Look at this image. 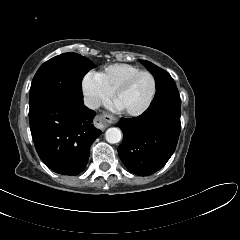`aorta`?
Here are the masks:
<instances>
[{"label": "aorta", "mask_w": 240, "mask_h": 240, "mask_svg": "<svg viewBox=\"0 0 240 240\" xmlns=\"http://www.w3.org/2000/svg\"><path fill=\"white\" fill-rule=\"evenodd\" d=\"M105 138L107 140V142L111 143V144H115L120 142L121 138H122V133L120 131V129L116 128V127H111L109 129H107L106 133H105Z\"/></svg>", "instance_id": "762f6f07"}]
</instances>
